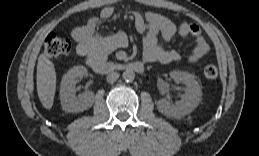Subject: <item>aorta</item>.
Returning <instances> with one entry per match:
<instances>
[{
  "mask_svg": "<svg viewBox=\"0 0 259 156\" xmlns=\"http://www.w3.org/2000/svg\"><path fill=\"white\" fill-rule=\"evenodd\" d=\"M123 79L125 82L127 83H131L134 81L135 79V73L133 70H130V69H127L123 72V75H122Z\"/></svg>",
  "mask_w": 259,
  "mask_h": 156,
  "instance_id": "aorta-1",
  "label": "aorta"
}]
</instances>
